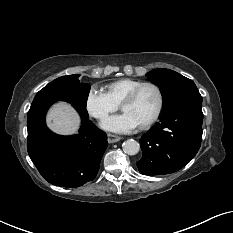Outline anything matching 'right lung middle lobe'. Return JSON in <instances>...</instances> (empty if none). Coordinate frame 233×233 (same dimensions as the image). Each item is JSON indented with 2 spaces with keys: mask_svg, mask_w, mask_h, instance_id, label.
Masks as SVG:
<instances>
[{
  "mask_svg": "<svg viewBox=\"0 0 233 233\" xmlns=\"http://www.w3.org/2000/svg\"><path fill=\"white\" fill-rule=\"evenodd\" d=\"M78 77L74 74L53 80L36 94L32 105L46 100H62L86 108L90 85L80 83Z\"/></svg>",
  "mask_w": 233,
  "mask_h": 233,
  "instance_id": "dd1d6c3e",
  "label": "right lung middle lobe"
}]
</instances>
